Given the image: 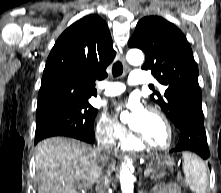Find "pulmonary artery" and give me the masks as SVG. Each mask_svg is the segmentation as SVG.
Instances as JSON below:
<instances>
[{"label": "pulmonary artery", "mask_w": 221, "mask_h": 193, "mask_svg": "<svg viewBox=\"0 0 221 193\" xmlns=\"http://www.w3.org/2000/svg\"><path fill=\"white\" fill-rule=\"evenodd\" d=\"M129 83L134 85H147L153 83V78L144 70L136 69L129 76ZM107 96L121 94L125 90V85L119 82H102L100 85Z\"/></svg>", "instance_id": "pulmonary-artery-1"}]
</instances>
